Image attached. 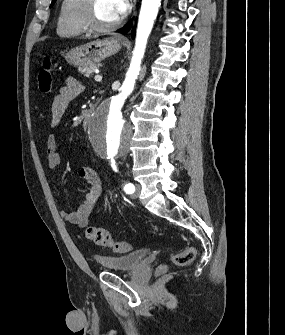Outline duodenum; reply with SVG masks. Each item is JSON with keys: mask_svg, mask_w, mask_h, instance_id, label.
<instances>
[{"mask_svg": "<svg viewBox=\"0 0 285 335\" xmlns=\"http://www.w3.org/2000/svg\"><path fill=\"white\" fill-rule=\"evenodd\" d=\"M93 113H94V107L93 106L89 107L85 111L84 116H83V126L84 127H87L88 122H89L91 116L93 115Z\"/></svg>", "mask_w": 285, "mask_h": 335, "instance_id": "duodenum-1", "label": "duodenum"}]
</instances>
